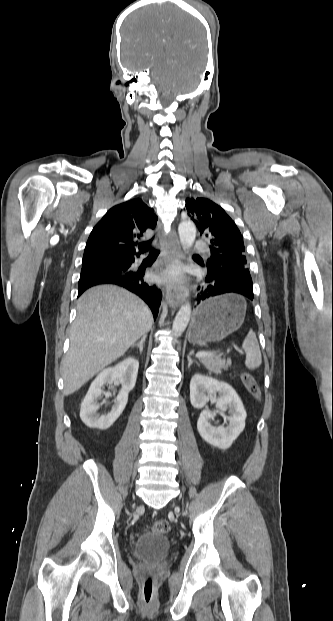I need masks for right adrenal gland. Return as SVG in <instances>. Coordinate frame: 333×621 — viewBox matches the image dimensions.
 Returning a JSON list of instances; mask_svg holds the SVG:
<instances>
[{
	"instance_id": "2a0ac1e0",
	"label": "right adrenal gland",
	"mask_w": 333,
	"mask_h": 621,
	"mask_svg": "<svg viewBox=\"0 0 333 621\" xmlns=\"http://www.w3.org/2000/svg\"><path fill=\"white\" fill-rule=\"evenodd\" d=\"M146 338H147V336L143 335L142 338L140 339V341L138 343L133 344L131 346V348L137 347V348H139L140 353H142Z\"/></svg>"
}]
</instances>
